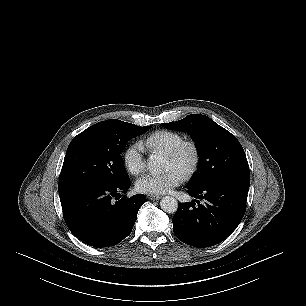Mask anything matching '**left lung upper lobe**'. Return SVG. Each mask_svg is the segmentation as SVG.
<instances>
[{
  "label": "left lung upper lobe",
  "mask_w": 306,
  "mask_h": 306,
  "mask_svg": "<svg viewBox=\"0 0 306 306\" xmlns=\"http://www.w3.org/2000/svg\"><path fill=\"white\" fill-rule=\"evenodd\" d=\"M163 127L189 133L200 156L198 171L187 188L206 185L222 179L250 180L249 166L244 150L229 131L202 114L161 124Z\"/></svg>",
  "instance_id": "1"
}]
</instances>
